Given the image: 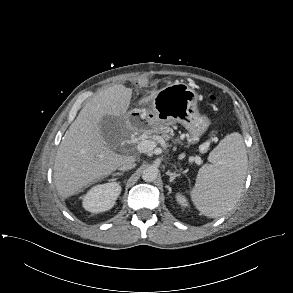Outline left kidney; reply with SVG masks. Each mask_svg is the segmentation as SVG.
Masks as SVG:
<instances>
[{
	"mask_svg": "<svg viewBox=\"0 0 293 293\" xmlns=\"http://www.w3.org/2000/svg\"><path fill=\"white\" fill-rule=\"evenodd\" d=\"M176 200H177V202H178L181 206H183V207L188 206L187 199H186V197H185L184 195L178 193V194L176 195Z\"/></svg>",
	"mask_w": 293,
	"mask_h": 293,
	"instance_id": "obj_1",
	"label": "left kidney"
}]
</instances>
